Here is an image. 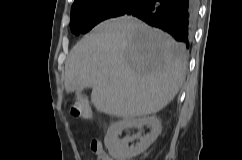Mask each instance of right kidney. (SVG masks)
Returning <instances> with one entry per match:
<instances>
[{"label": "right kidney", "instance_id": "1", "mask_svg": "<svg viewBox=\"0 0 242 160\" xmlns=\"http://www.w3.org/2000/svg\"><path fill=\"white\" fill-rule=\"evenodd\" d=\"M143 126L151 129L147 135L142 136L141 133H138L132 137L127 136L124 139H119V135L123 130L134 127L142 128ZM161 130L160 120L156 116L125 118L113 123L108 128L104 144L110 156L116 160H130L144 152L157 139ZM135 139H139L140 141L135 146H129V142Z\"/></svg>", "mask_w": 242, "mask_h": 160}]
</instances>
